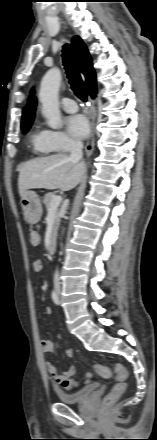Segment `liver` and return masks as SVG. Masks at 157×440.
Listing matches in <instances>:
<instances>
[{
	"label": "liver",
	"mask_w": 157,
	"mask_h": 440,
	"mask_svg": "<svg viewBox=\"0 0 157 440\" xmlns=\"http://www.w3.org/2000/svg\"><path fill=\"white\" fill-rule=\"evenodd\" d=\"M85 165L74 163L65 154L27 161L19 167L18 189L22 197L29 189H73L84 177Z\"/></svg>",
	"instance_id": "liver-1"
}]
</instances>
